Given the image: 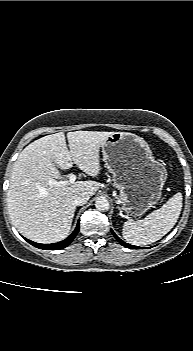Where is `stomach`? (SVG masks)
Returning <instances> with one entry per match:
<instances>
[{
    "label": "stomach",
    "mask_w": 193,
    "mask_h": 351,
    "mask_svg": "<svg viewBox=\"0 0 193 351\" xmlns=\"http://www.w3.org/2000/svg\"><path fill=\"white\" fill-rule=\"evenodd\" d=\"M103 160L120 190L122 211L141 216L158 203L167 170L155 160L148 143L128 132H114L102 146Z\"/></svg>",
    "instance_id": "stomach-1"
}]
</instances>
